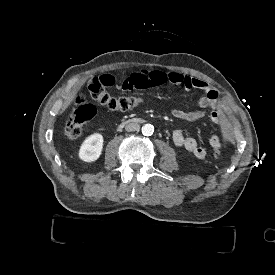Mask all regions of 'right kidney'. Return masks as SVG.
<instances>
[{
  "label": "right kidney",
  "instance_id": "obj_1",
  "mask_svg": "<svg viewBox=\"0 0 275 275\" xmlns=\"http://www.w3.org/2000/svg\"><path fill=\"white\" fill-rule=\"evenodd\" d=\"M104 146V138L100 133H93L86 137L78 151V158L85 163H92L99 159Z\"/></svg>",
  "mask_w": 275,
  "mask_h": 275
}]
</instances>
